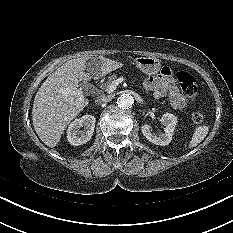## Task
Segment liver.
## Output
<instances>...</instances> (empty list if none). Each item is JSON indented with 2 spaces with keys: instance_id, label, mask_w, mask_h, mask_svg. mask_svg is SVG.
Listing matches in <instances>:
<instances>
[{
  "instance_id": "obj_1",
  "label": "liver",
  "mask_w": 233,
  "mask_h": 233,
  "mask_svg": "<svg viewBox=\"0 0 233 233\" xmlns=\"http://www.w3.org/2000/svg\"><path fill=\"white\" fill-rule=\"evenodd\" d=\"M92 72H85V63L91 59L83 56L67 61L53 72L41 85L35 95L32 109L34 129L41 141L48 147H55L67 125L88 105L89 100L67 93L69 88L78 91L80 81L100 78L119 69L122 63L99 57Z\"/></svg>"
}]
</instances>
